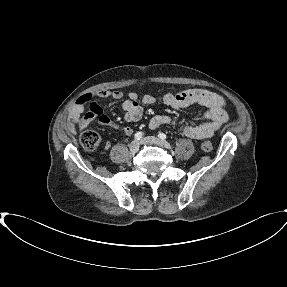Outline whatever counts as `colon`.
<instances>
[{
	"mask_svg": "<svg viewBox=\"0 0 287 287\" xmlns=\"http://www.w3.org/2000/svg\"><path fill=\"white\" fill-rule=\"evenodd\" d=\"M101 139L99 135L92 131L83 132L80 135V143L84 149L88 151H95L100 145ZM202 149L205 152H210L213 149V142L206 140L202 144Z\"/></svg>",
	"mask_w": 287,
	"mask_h": 287,
	"instance_id": "1",
	"label": "colon"
}]
</instances>
